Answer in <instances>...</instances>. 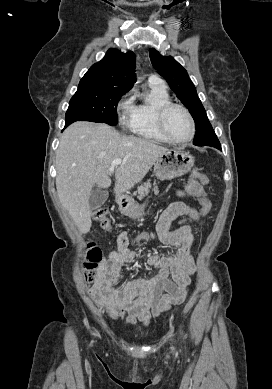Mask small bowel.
I'll return each mask as SVG.
<instances>
[{
  "label": "small bowel",
  "instance_id": "c3829d8e",
  "mask_svg": "<svg viewBox=\"0 0 272 389\" xmlns=\"http://www.w3.org/2000/svg\"><path fill=\"white\" fill-rule=\"evenodd\" d=\"M186 194L185 191L178 192L179 196ZM181 216L189 218L191 223L169 230L172 222ZM192 223L202 224V217L195 208L182 201L170 204L161 214L156 228L159 240L179 249L171 257L147 256L146 263L158 270L149 280L121 282L124 264L134 262L139 254L128 247L126 233L118 235L117 249L109 252L107 258L99 263L96 281L89 290L96 304L110 319H124L130 325L141 322L147 326L151 318L184 301L195 271L190 253L194 242Z\"/></svg>",
  "mask_w": 272,
  "mask_h": 389
}]
</instances>
